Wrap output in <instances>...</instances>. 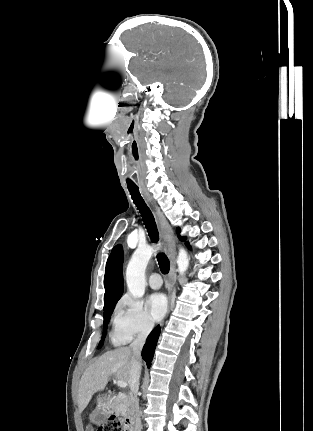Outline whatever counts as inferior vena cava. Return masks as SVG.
Segmentation results:
<instances>
[{
    "label": "inferior vena cava",
    "instance_id": "1",
    "mask_svg": "<svg viewBox=\"0 0 313 431\" xmlns=\"http://www.w3.org/2000/svg\"><path fill=\"white\" fill-rule=\"evenodd\" d=\"M154 324L148 322L144 329L138 334L137 338L131 343L130 349L132 351V365L129 375L130 386V408L135 420V431H141L139 400L137 397L139 389V379L141 373L140 355L141 350L145 344L146 338L152 330Z\"/></svg>",
    "mask_w": 313,
    "mask_h": 431
}]
</instances>
